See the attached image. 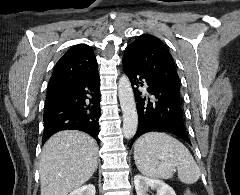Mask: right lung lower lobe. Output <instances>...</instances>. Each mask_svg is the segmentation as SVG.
Here are the masks:
<instances>
[{"label":"right lung lower lobe","instance_id":"obj_1","mask_svg":"<svg viewBox=\"0 0 240 195\" xmlns=\"http://www.w3.org/2000/svg\"><path fill=\"white\" fill-rule=\"evenodd\" d=\"M98 73L77 83L48 86L42 143L61 130H80L99 141L100 90Z\"/></svg>","mask_w":240,"mask_h":195}]
</instances>
